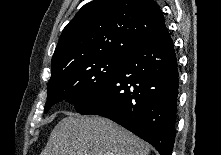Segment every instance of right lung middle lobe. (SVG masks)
I'll use <instances>...</instances> for the list:
<instances>
[{"instance_id":"1","label":"right lung middle lobe","mask_w":221,"mask_h":155,"mask_svg":"<svg viewBox=\"0 0 221 155\" xmlns=\"http://www.w3.org/2000/svg\"><path fill=\"white\" fill-rule=\"evenodd\" d=\"M126 55H108L70 63L51 74L45 113L67 98L82 110L113 78Z\"/></svg>"}]
</instances>
